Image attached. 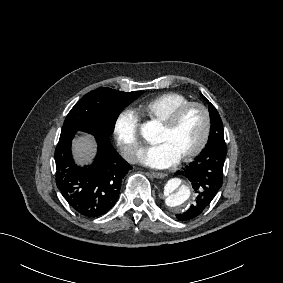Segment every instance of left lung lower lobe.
<instances>
[{
	"mask_svg": "<svg viewBox=\"0 0 283 283\" xmlns=\"http://www.w3.org/2000/svg\"><path fill=\"white\" fill-rule=\"evenodd\" d=\"M227 154L225 141L208 142L202 153L183 171H178L187 177L196 193L194 204L176 217L187 221L201 215L209 206L223 183V165Z\"/></svg>",
	"mask_w": 283,
	"mask_h": 283,
	"instance_id": "obj_1",
	"label": "left lung lower lobe"
}]
</instances>
